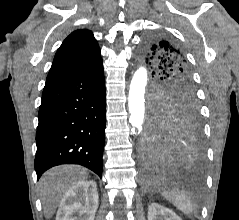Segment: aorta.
I'll use <instances>...</instances> for the list:
<instances>
[{"instance_id": "762f6f07", "label": "aorta", "mask_w": 239, "mask_h": 220, "mask_svg": "<svg viewBox=\"0 0 239 220\" xmlns=\"http://www.w3.org/2000/svg\"><path fill=\"white\" fill-rule=\"evenodd\" d=\"M148 85V72L144 65L139 64L130 84L128 107L129 122L139 132L145 120V91Z\"/></svg>"}]
</instances>
